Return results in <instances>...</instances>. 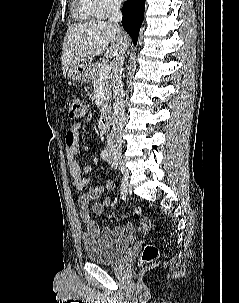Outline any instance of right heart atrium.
<instances>
[{"mask_svg": "<svg viewBox=\"0 0 239 303\" xmlns=\"http://www.w3.org/2000/svg\"><path fill=\"white\" fill-rule=\"evenodd\" d=\"M89 12L96 18H106L120 10L123 0H85Z\"/></svg>", "mask_w": 239, "mask_h": 303, "instance_id": "right-heart-atrium-1", "label": "right heart atrium"}]
</instances>
